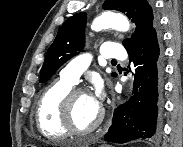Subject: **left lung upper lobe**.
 Instances as JSON below:
<instances>
[{
    "mask_svg": "<svg viewBox=\"0 0 183 147\" xmlns=\"http://www.w3.org/2000/svg\"><path fill=\"white\" fill-rule=\"evenodd\" d=\"M103 8L121 11L136 24L132 37L123 40L126 49L146 37L158 25L147 0H106ZM85 25L86 13H77L63 23L47 51L40 72L41 83L47 82L66 61L84 47ZM112 76L115 77L116 73L113 72Z\"/></svg>",
    "mask_w": 183,
    "mask_h": 147,
    "instance_id": "obj_1",
    "label": "left lung upper lobe"
}]
</instances>
